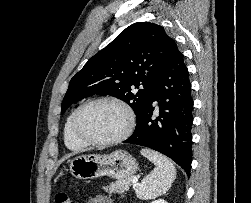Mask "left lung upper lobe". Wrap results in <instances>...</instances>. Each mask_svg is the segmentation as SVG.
<instances>
[{"instance_id": "left-lung-upper-lobe-1", "label": "left lung upper lobe", "mask_w": 251, "mask_h": 203, "mask_svg": "<svg viewBox=\"0 0 251 203\" xmlns=\"http://www.w3.org/2000/svg\"><path fill=\"white\" fill-rule=\"evenodd\" d=\"M174 44L162 26L149 22L130 25L90 58L71 79L62 101L61 114L71 104L100 94L126 102L138 120Z\"/></svg>"}]
</instances>
